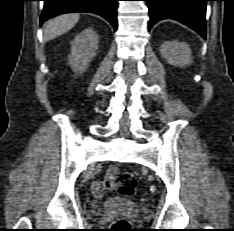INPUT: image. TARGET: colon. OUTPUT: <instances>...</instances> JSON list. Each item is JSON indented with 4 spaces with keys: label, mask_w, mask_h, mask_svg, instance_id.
I'll return each mask as SVG.
<instances>
[{
    "label": "colon",
    "mask_w": 234,
    "mask_h": 231,
    "mask_svg": "<svg viewBox=\"0 0 234 231\" xmlns=\"http://www.w3.org/2000/svg\"><path fill=\"white\" fill-rule=\"evenodd\" d=\"M115 178L118 180L119 188L118 192L119 194L123 196H133L135 195L137 191V179L135 175L131 172H122L118 173L116 170L115 172ZM114 228L116 231H128L129 230V223L125 219H118L115 224Z\"/></svg>",
    "instance_id": "5ec220e1"
}]
</instances>
